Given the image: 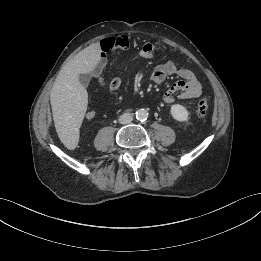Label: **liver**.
<instances>
[{"instance_id": "obj_1", "label": "liver", "mask_w": 261, "mask_h": 261, "mask_svg": "<svg viewBox=\"0 0 261 261\" xmlns=\"http://www.w3.org/2000/svg\"><path fill=\"white\" fill-rule=\"evenodd\" d=\"M101 54L98 43L79 52L60 71L50 94L53 120L57 134L65 143L78 136L88 104L86 88L79 82V75L90 73Z\"/></svg>"}]
</instances>
